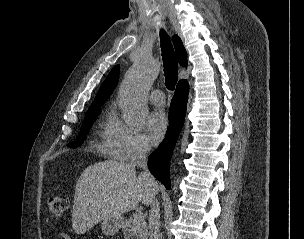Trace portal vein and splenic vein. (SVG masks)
<instances>
[{
    "mask_svg": "<svg viewBox=\"0 0 304 239\" xmlns=\"http://www.w3.org/2000/svg\"><path fill=\"white\" fill-rule=\"evenodd\" d=\"M136 218H139V219L144 218L143 213H142V212H139V213L137 214Z\"/></svg>",
    "mask_w": 304,
    "mask_h": 239,
    "instance_id": "18ae733b",
    "label": "portal vein and splenic vein"
}]
</instances>
